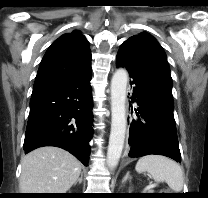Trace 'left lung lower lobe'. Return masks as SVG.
I'll use <instances>...</instances> for the list:
<instances>
[{"label":"left lung lower lobe","mask_w":208,"mask_h":198,"mask_svg":"<svg viewBox=\"0 0 208 198\" xmlns=\"http://www.w3.org/2000/svg\"><path fill=\"white\" fill-rule=\"evenodd\" d=\"M117 67H125L133 87L131 102H137L138 119H133L129 129V157L159 154L181 162L178 137L173 115V97L160 86L146 68V64L129 45H121Z\"/></svg>","instance_id":"1"}]
</instances>
